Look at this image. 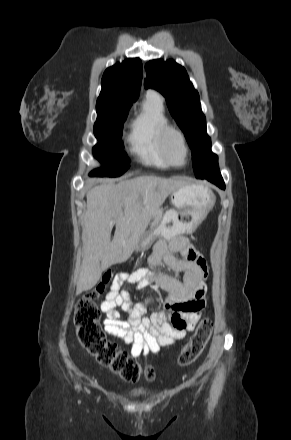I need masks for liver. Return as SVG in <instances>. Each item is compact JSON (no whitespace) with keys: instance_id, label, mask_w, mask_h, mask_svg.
<instances>
[{"instance_id":"6515ba94","label":"liver","mask_w":291,"mask_h":440,"mask_svg":"<svg viewBox=\"0 0 291 440\" xmlns=\"http://www.w3.org/2000/svg\"><path fill=\"white\" fill-rule=\"evenodd\" d=\"M182 184L180 180L143 175L117 184L98 185L87 192L77 293L93 288L103 271L131 256L159 207Z\"/></svg>"}]
</instances>
